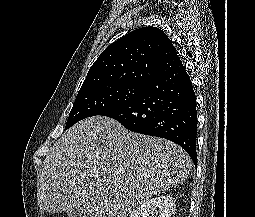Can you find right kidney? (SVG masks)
I'll list each match as a JSON object with an SVG mask.
<instances>
[{
    "mask_svg": "<svg viewBox=\"0 0 255 217\" xmlns=\"http://www.w3.org/2000/svg\"><path fill=\"white\" fill-rule=\"evenodd\" d=\"M175 205V200L170 195H162L144 202L134 210L130 217H148L149 214L158 213V217H170Z\"/></svg>",
    "mask_w": 255,
    "mask_h": 217,
    "instance_id": "obj_1",
    "label": "right kidney"
}]
</instances>
